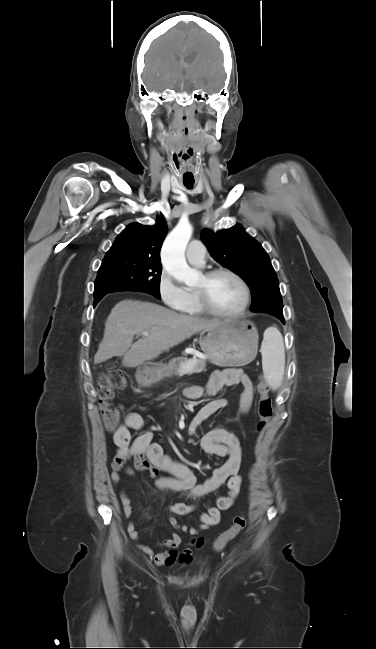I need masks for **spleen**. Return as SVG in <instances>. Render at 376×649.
Returning <instances> with one entry per match:
<instances>
[{"label":"spleen","instance_id":"3e777b00","mask_svg":"<svg viewBox=\"0 0 376 649\" xmlns=\"http://www.w3.org/2000/svg\"><path fill=\"white\" fill-rule=\"evenodd\" d=\"M261 354L266 382L272 390H276L281 386L285 368L283 338L276 327H270L265 331Z\"/></svg>","mask_w":376,"mask_h":649}]
</instances>
